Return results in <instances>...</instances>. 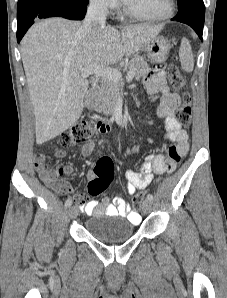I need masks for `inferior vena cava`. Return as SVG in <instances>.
Here are the masks:
<instances>
[{
    "mask_svg": "<svg viewBox=\"0 0 227 298\" xmlns=\"http://www.w3.org/2000/svg\"><path fill=\"white\" fill-rule=\"evenodd\" d=\"M107 3L105 0H92L82 25V31L89 32L105 27L107 16Z\"/></svg>",
    "mask_w": 227,
    "mask_h": 298,
    "instance_id": "1",
    "label": "inferior vena cava"
}]
</instances>
